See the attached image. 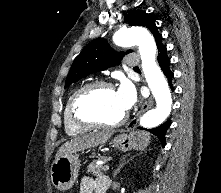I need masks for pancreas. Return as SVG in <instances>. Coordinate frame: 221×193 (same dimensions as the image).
I'll list each match as a JSON object with an SVG mask.
<instances>
[{
    "instance_id": "pancreas-1",
    "label": "pancreas",
    "mask_w": 221,
    "mask_h": 193,
    "mask_svg": "<svg viewBox=\"0 0 221 193\" xmlns=\"http://www.w3.org/2000/svg\"><path fill=\"white\" fill-rule=\"evenodd\" d=\"M103 160H107L106 158H102ZM103 165H97L94 161L91 162L88 166H87V172H90L91 174H93L96 177H99L101 175H103Z\"/></svg>"
}]
</instances>
